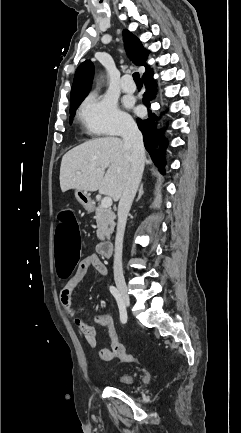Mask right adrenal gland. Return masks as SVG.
<instances>
[{
	"mask_svg": "<svg viewBox=\"0 0 241 433\" xmlns=\"http://www.w3.org/2000/svg\"><path fill=\"white\" fill-rule=\"evenodd\" d=\"M143 194H144V190H143V183H142L140 185V188H139V191H138V197H137L136 201H139Z\"/></svg>",
	"mask_w": 241,
	"mask_h": 433,
	"instance_id": "1",
	"label": "right adrenal gland"
}]
</instances>
